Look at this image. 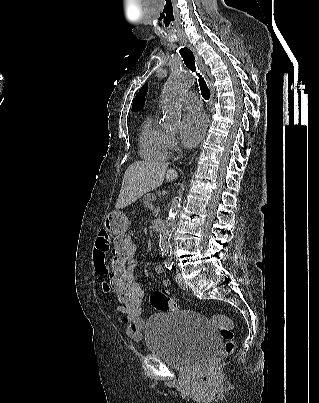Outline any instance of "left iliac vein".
Here are the masks:
<instances>
[{
  "label": "left iliac vein",
  "mask_w": 319,
  "mask_h": 403,
  "mask_svg": "<svg viewBox=\"0 0 319 403\" xmlns=\"http://www.w3.org/2000/svg\"><path fill=\"white\" fill-rule=\"evenodd\" d=\"M176 282L180 288L184 290L188 289L187 283L185 282V280L183 279L182 275L179 272L176 273Z\"/></svg>",
  "instance_id": "left-iliac-vein-1"
}]
</instances>
